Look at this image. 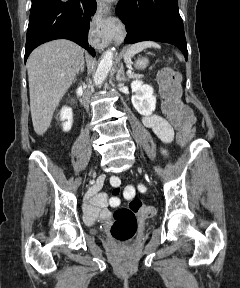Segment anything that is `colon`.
I'll use <instances>...</instances> for the list:
<instances>
[{"label":"colon","mask_w":240,"mask_h":288,"mask_svg":"<svg viewBox=\"0 0 240 288\" xmlns=\"http://www.w3.org/2000/svg\"><path fill=\"white\" fill-rule=\"evenodd\" d=\"M159 87L163 99L162 110L170 122L180 131V139L186 142L192 137L193 116L191 110L180 99V77L171 68L159 73ZM155 213L153 207L141 200L130 198L126 208L118 209L111 226L112 237L120 243L130 242L137 232V217L147 218Z\"/></svg>","instance_id":"1"}]
</instances>
